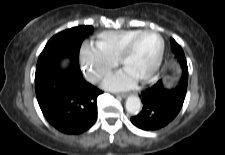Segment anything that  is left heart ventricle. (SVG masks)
Masks as SVG:
<instances>
[{
  "instance_id": "1",
  "label": "left heart ventricle",
  "mask_w": 225,
  "mask_h": 155,
  "mask_svg": "<svg viewBox=\"0 0 225 155\" xmlns=\"http://www.w3.org/2000/svg\"><path fill=\"white\" fill-rule=\"evenodd\" d=\"M160 50V40L155 34H146L136 43L124 62V69L138 80L143 78L155 64Z\"/></svg>"
}]
</instances>
